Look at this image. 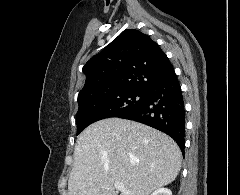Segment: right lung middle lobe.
<instances>
[{"mask_svg":"<svg viewBox=\"0 0 240 195\" xmlns=\"http://www.w3.org/2000/svg\"><path fill=\"white\" fill-rule=\"evenodd\" d=\"M145 96V91L124 89L106 96L78 100L77 135L85 127L96 121L117 117L138 106L145 99Z\"/></svg>","mask_w":240,"mask_h":195,"instance_id":"1","label":"right lung middle lobe"}]
</instances>
